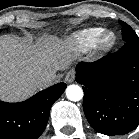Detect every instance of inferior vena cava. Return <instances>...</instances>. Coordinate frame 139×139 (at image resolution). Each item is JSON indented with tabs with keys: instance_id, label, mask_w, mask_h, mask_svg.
I'll use <instances>...</instances> for the list:
<instances>
[{
	"instance_id": "1",
	"label": "inferior vena cava",
	"mask_w": 139,
	"mask_h": 139,
	"mask_svg": "<svg viewBox=\"0 0 139 139\" xmlns=\"http://www.w3.org/2000/svg\"><path fill=\"white\" fill-rule=\"evenodd\" d=\"M56 77L57 76L55 73H49V72L43 73L37 78L36 85L39 88L47 87V86L51 85L56 80Z\"/></svg>"
}]
</instances>
